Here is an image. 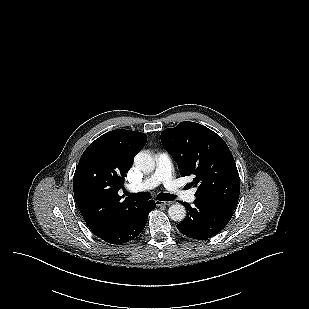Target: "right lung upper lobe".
Instances as JSON below:
<instances>
[{
  "mask_svg": "<svg viewBox=\"0 0 309 309\" xmlns=\"http://www.w3.org/2000/svg\"><path fill=\"white\" fill-rule=\"evenodd\" d=\"M147 136L112 130L93 141L82 154L73 178L74 197L86 224L97 236L108 231L139 202L121 200L119 189Z\"/></svg>",
  "mask_w": 309,
  "mask_h": 309,
  "instance_id": "1",
  "label": "right lung upper lobe"
}]
</instances>
